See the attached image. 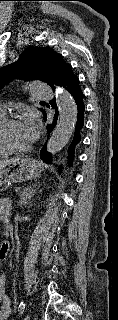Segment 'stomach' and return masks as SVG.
Wrapping results in <instances>:
<instances>
[{
    "label": "stomach",
    "mask_w": 118,
    "mask_h": 320,
    "mask_svg": "<svg viewBox=\"0 0 118 320\" xmlns=\"http://www.w3.org/2000/svg\"><path fill=\"white\" fill-rule=\"evenodd\" d=\"M41 164L29 158H16L0 166V186L6 183H20L39 177Z\"/></svg>",
    "instance_id": "stomach-1"
}]
</instances>
